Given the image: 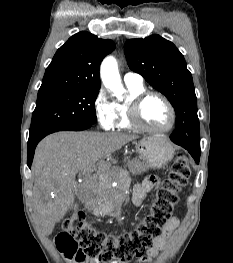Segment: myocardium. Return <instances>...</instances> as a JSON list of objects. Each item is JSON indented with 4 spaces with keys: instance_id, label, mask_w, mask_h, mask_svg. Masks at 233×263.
<instances>
[{
    "instance_id": "myocardium-1",
    "label": "myocardium",
    "mask_w": 233,
    "mask_h": 263,
    "mask_svg": "<svg viewBox=\"0 0 233 263\" xmlns=\"http://www.w3.org/2000/svg\"><path fill=\"white\" fill-rule=\"evenodd\" d=\"M158 97L160 98L165 105L167 106L170 113V122L167 126L163 128H152L146 125L141 116V109L149 97ZM129 121L131 126L135 129L151 132V133H166L170 131L176 123V111L171 101L162 93L158 91H143L133 98L128 108Z\"/></svg>"
}]
</instances>
